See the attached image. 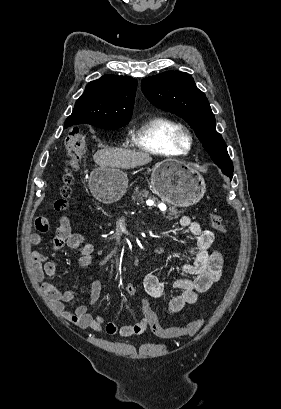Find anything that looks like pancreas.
Listing matches in <instances>:
<instances>
[{"instance_id": "pancreas-1", "label": "pancreas", "mask_w": 281, "mask_h": 409, "mask_svg": "<svg viewBox=\"0 0 281 409\" xmlns=\"http://www.w3.org/2000/svg\"><path fill=\"white\" fill-rule=\"evenodd\" d=\"M133 198L134 200H142V202L144 198H153V200H156L152 194H149V190H146V188H143V190H138V188H136V190H134ZM169 211L170 213H168L166 219H178L180 211H178L176 207H170Z\"/></svg>"}]
</instances>
